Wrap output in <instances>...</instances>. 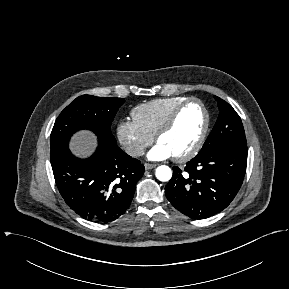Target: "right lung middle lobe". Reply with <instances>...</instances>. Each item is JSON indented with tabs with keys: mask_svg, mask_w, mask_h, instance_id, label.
Instances as JSON below:
<instances>
[{
	"mask_svg": "<svg viewBox=\"0 0 289 289\" xmlns=\"http://www.w3.org/2000/svg\"><path fill=\"white\" fill-rule=\"evenodd\" d=\"M122 98L83 95L71 102L58 116L51 132V162L68 148L70 137L80 129L93 131L98 139L116 144L111 124L124 104Z\"/></svg>",
	"mask_w": 289,
	"mask_h": 289,
	"instance_id": "dd1d6c3e",
	"label": "right lung middle lobe"
}]
</instances>
